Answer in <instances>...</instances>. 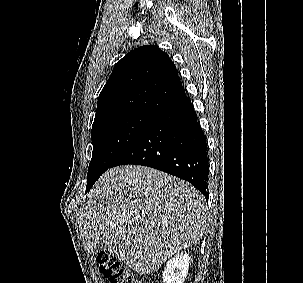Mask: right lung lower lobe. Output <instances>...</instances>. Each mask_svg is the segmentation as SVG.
I'll return each instance as SVG.
<instances>
[{
  "instance_id": "right-lung-lower-lobe-1",
  "label": "right lung lower lobe",
  "mask_w": 303,
  "mask_h": 283,
  "mask_svg": "<svg viewBox=\"0 0 303 283\" xmlns=\"http://www.w3.org/2000/svg\"><path fill=\"white\" fill-rule=\"evenodd\" d=\"M152 167L195 186L208 200L206 136L189 98L159 113L111 167Z\"/></svg>"
}]
</instances>
